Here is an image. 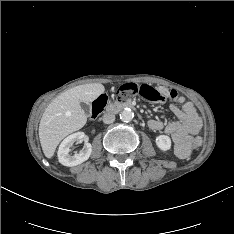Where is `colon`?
<instances>
[{
    "instance_id": "1",
    "label": "colon",
    "mask_w": 234,
    "mask_h": 234,
    "mask_svg": "<svg viewBox=\"0 0 234 234\" xmlns=\"http://www.w3.org/2000/svg\"><path fill=\"white\" fill-rule=\"evenodd\" d=\"M136 95H139L148 101H156L160 98V93L158 92V90L149 85H137L134 83H128L119 88L117 92V99L119 101H125ZM106 103L107 98L105 95H101L100 97H98L92 104V116L97 117L105 107ZM202 143V138H195L194 143H192L191 145L192 150H199Z\"/></svg>"
}]
</instances>
